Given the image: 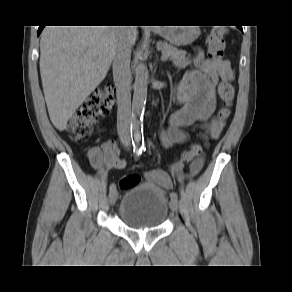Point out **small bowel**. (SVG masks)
I'll return each mask as SVG.
<instances>
[{
    "mask_svg": "<svg viewBox=\"0 0 292 292\" xmlns=\"http://www.w3.org/2000/svg\"><path fill=\"white\" fill-rule=\"evenodd\" d=\"M190 63L189 69L178 86L176 98L182 104L181 109L175 112L169 120L167 129L160 134L164 147L185 143L189 135L185 127L210 121L209 127L212 137H217L224 126V119L213 117L216 110L215 88L219 80L231 82L234 71L231 63L225 59L206 58L203 51L198 49L192 60H178V67H185ZM90 165L98 172L109 169H124L126 160L121 157L120 149L114 140H105L100 146H92L88 150ZM203 166V158H196L190 166V171L185 174L183 165L175 163L170 168V173L154 169L144 173L147 181L155 183L164 189H172V177L182 179L186 176H195Z\"/></svg>",
    "mask_w": 292,
    "mask_h": 292,
    "instance_id": "c3829d8e",
    "label": "small bowel"
}]
</instances>
